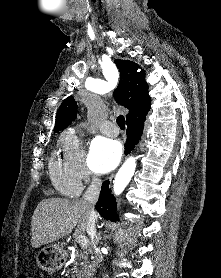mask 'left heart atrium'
<instances>
[{
	"label": "left heart atrium",
	"mask_w": 221,
	"mask_h": 278,
	"mask_svg": "<svg viewBox=\"0 0 221 278\" xmlns=\"http://www.w3.org/2000/svg\"><path fill=\"white\" fill-rule=\"evenodd\" d=\"M122 146L117 140L97 137L90 146V163L98 173H108L119 163Z\"/></svg>",
	"instance_id": "1"
}]
</instances>
